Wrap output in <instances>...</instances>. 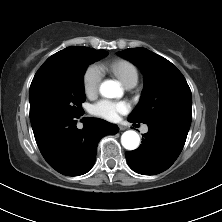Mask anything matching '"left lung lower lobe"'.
Instances as JSON below:
<instances>
[{
  "mask_svg": "<svg viewBox=\"0 0 222 222\" xmlns=\"http://www.w3.org/2000/svg\"><path fill=\"white\" fill-rule=\"evenodd\" d=\"M130 122H135L128 119ZM148 132L142 144L125 153L130 168L143 175L167 170L177 159L185 144L190 126L182 119L163 118L147 122Z\"/></svg>",
  "mask_w": 222,
  "mask_h": 222,
  "instance_id": "obj_1",
  "label": "left lung lower lobe"
}]
</instances>
